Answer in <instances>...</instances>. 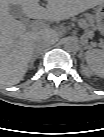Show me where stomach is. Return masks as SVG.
Returning a JSON list of instances; mask_svg holds the SVG:
<instances>
[{
	"instance_id": "obj_1",
	"label": "stomach",
	"mask_w": 104,
	"mask_h": 137,
	"mask_svg": "<svg viewBox=\"0 0 104 137\" xmlns=\"http://www.w3.org/2000/svg\"><path fill=\"white\" fill-rule=\"evenodd\" d=\"M103 5H98V7L95 10L97 18H101L103 16V11H102Z\"/></svg>"
}]
</instances>
